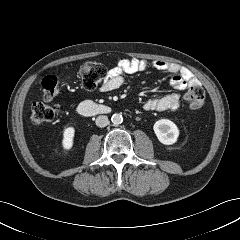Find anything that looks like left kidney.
I'll use <instances>...</instances> for the list:
<instances>
[{
	"instance_id": "5707ae66",
	"label": "left kidney",
	"mask_w": 240,
	"mask_h": 240,
	"mask_svg": "<svg viewBox=\"0 0 240 240\" xmlns=\"http://www.w3.org/2000/svg\"><path fill=\"white\" fill-rule=\"evenodd\" d=\"M153 130L158 140L164 145L176 143L179 136V129L176 124L168 119H161L155 122Z\"/></svg>"
}]
</instances>
